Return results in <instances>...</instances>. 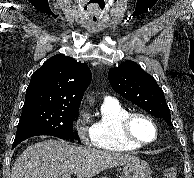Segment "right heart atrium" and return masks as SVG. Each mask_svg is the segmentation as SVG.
<instances>
[{
  "instance_id": "1",
  "label": "right heart atrium",
  "mask_w": 194,
  "mask_h": 178,
  "mask_svg": "<svg viewBox=\"0 0 194 178\" xmlns=\"http://www.w3.org/2000/svg\"><path fill=\"white\" fill-rule=\"evenodd\" d=\"M74 130L81 144L88 146L93 143L90 119L85 110H80L77 113L74 119Z\"/></svg>"
}]
</instances>
